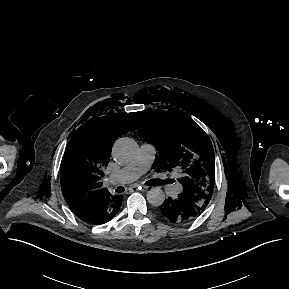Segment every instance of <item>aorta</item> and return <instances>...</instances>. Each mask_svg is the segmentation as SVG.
<instances>
[{
    "label": "aorta",
    "mask_w": 289,
    "mask_h": 289,
    "mask_svg": "<svg viewBox=\"0 0 289 289\" xmlns=\"http://www.w3.org/2000/svg\"><path fill=\"white\" fill-rule=\"evenodd\" d=\"M138 154L137 143L130 138L118 139L112 147V157L121 164L133 161ZM147 201L153 206H160L165 201V193L159 187H153L147 192Z\"/></svg>",
    "instance_id": "762f6f07"
}]
</instances>
